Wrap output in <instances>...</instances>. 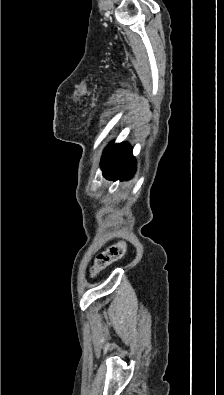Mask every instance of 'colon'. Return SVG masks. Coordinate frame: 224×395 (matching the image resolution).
<instances>
[{"instance_id":"obj_1","label":"colon","mask_w":224,"mask_h":395,"mask_svg":"<svg viewBox=\"0 0 224 395\" xmlns=\"http://www.w3.org/2000/svg\"><path fill=\"white\" fill-rule=\"evenodd\" d=\"M126 251V243L121 241L117 244L112 245L108 249L97 254L94 260L93 267L91 269L92 277H96L111 264L120 260Z\"/></svg>"}]
</instances>
